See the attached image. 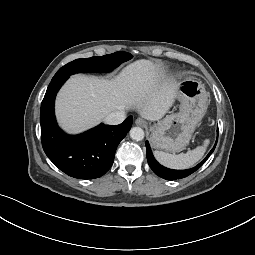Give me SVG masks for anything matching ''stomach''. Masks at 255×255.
I'll return each instance as SVG.
<instances>
[{"instance_id": "obj_1", "label": "stomach", "mask_w": 255, "mask_h": 255, "mask_svg": "<svg viewBox=\"0 0 255 255\" xmlns=\"http://www.w3.org/2000/svg\"><path fill=\"white\" fill-rule=\"evenodd\" d=\"M178 113L167 115L151 128V143L156 149L178 152L189 143L197 124L207 110V93L204 86L193 79L178 84Z\"/></svg>"}]
</instances>
